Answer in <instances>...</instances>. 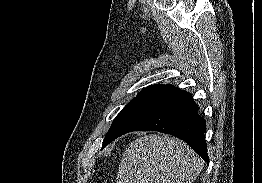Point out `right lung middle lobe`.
Returning a JSON list of instances; mask_svg holds the SVG:
<instances>
[{"mask_svg":"<svg viewBox=\"0 0 262 183\" xmlns=\"http://www.w3.org/2000/svg\"><path fill=\"white\" fill-rule=\"evenodd\" d=\"M156 93L157 92H140L129 104H127L114 119L104 138L103 145H107L119 137L127 125L137 117Z\"/></svg>","mask_w":262,"mask_h":183,"instance_id":"obj_1","label":"right lung middle lobe"}]
</instances>
